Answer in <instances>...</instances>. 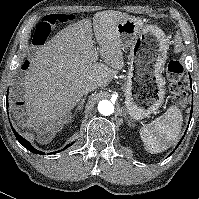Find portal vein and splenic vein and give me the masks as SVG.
I'll return each mask as SVG.
<instances>
[{"label":"portal vein and splenic vein","instance_id":"1","mask_svg":"<svg viewBox=\"0 0 199 199\" xmlns=\"http://www.w3.org/2000/svg\"><path fill=\"white\" fill-rule=\"evenodd\" d=\"M97 59H98V56L94 57V61H97Z\"/></svg>","mask_w":199,"mask_h":199}]
</instances>
